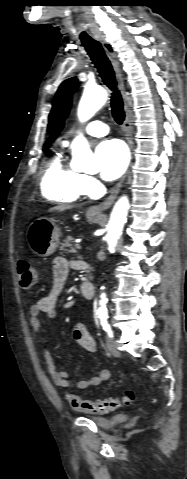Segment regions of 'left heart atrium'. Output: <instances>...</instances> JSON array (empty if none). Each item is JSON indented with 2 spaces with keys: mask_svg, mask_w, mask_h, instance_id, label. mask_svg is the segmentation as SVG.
<instances>
[{
  "mask_svg": "<svg viewBox=\"0 0 187 479\" xmlns=\"http://www.w3.org/2000/svg\"><path fill=\"white\" fill-rule=\"evenodd\" d=\"M96 155L100 162V174L104 180L112 181L125 171L128 153L125 145L117 139H108L96 147Z\"/></svg>",
  "mask_w": 187,
  "mask_h": 479,
  "instance_id": "39dd6f15",
  "label": "left heart atrium"
}]
</instances>
